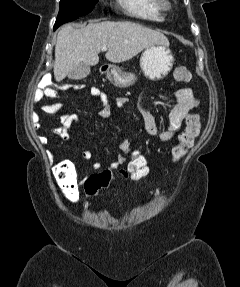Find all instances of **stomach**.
I'll use <instances>...</instances> for the list:
<instances>
[{
    "instance_id": "obj_1",
    "label": "stomach",
    "mask_w": 240,
    "mask_h": 287,
    "mask_svg": "<svg viewBox=\"0 0 240 287\" xmlns=\"http://www.w3.org/2000/svg\"><path fill=\"white\" fill-rule=\"evenodd\" d=\"M173 64L174 56L169 49V45L156 44L149 46L140 58L141 70L152 81L164 79L171 71ZM106 73L107 78L118 87H127L136 80L133 73H126L114 65L109 66Z\"/></svg>"
}]
</instances>
